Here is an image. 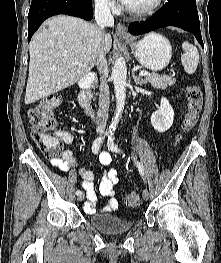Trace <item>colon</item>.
<instances>
[{
  "instance_id": "1",
  "label": "colon",
  "mask_w": 221,
  "mask_h": 263,
  "mask_svg": "<svg viewBox=\"0 0 221 263\" xmlns=\"http://www.w3.org/2000/svg\"><path fill=\"white\" fill-rule=\"evenodd\" d=\"M187 100V113L183 119L180 132L176 135L177 142L181 141L196 125L202 110V93L196 85H191L187 89ZM61 103V96L52 94L42 99L28 112L32 138L44 155L51 159L59 157L62 153V143L57 135L54 117V112ZM139 203L140 195L138 192L133 191L126 195L125 205L127 207H136Z\"/></svg>"
}]
</instances>
